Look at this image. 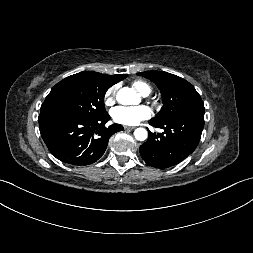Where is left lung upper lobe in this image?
<instances>
[{
  "mask_svg": "<svg viewBox=\"0 0 253 253\" xmlns=\"http://www.w3.org/2000/svg\"><path fill=\"white\" fill-rule=\"evenodd\" d=\"M138 75L150 79L161 91L163 107L152 119L154 121H169L195 107L204 106L195 88L181 77L164 71H146Z\"/></svg>",
  "mask_w": 253,
  "mask_h": 253,
  "instance_id": "left-lung-upper-lobe-1",
  "label": "left lung upper lobe"
}]
</instances>
